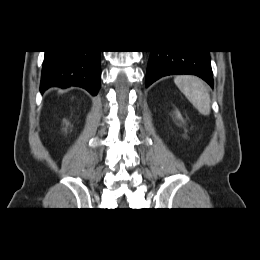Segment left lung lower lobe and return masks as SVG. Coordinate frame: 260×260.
<instances>
[{"label":"left lung lower lobe","mask_w":260,"mask_h":260,"mask_svg":"<svg viewBox=\"0 0 260 260\" xmlns=\"http://www.w3.org/2000/svg\"><path fill=\"white\" fill-rule=\"evenodd\" d=\"M174 74L196 75L213 87L209 51H151L145 79L146 87L161 77Z\"/></svg>","instance_id":"left-lung-lower-lobe-1"}]
</instances>
